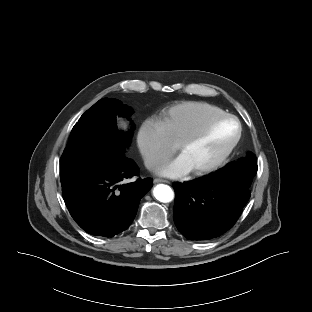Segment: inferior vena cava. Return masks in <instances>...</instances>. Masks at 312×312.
Segmentation results:
<instances>
[{"label": "inferior vena cava", "mask_w": 312, "mask_h": 312, "mask_svg": "<svg viewBox=\"0 0 312 312\" xmlns=\"http://www.w3.org/2000/svg\"><path fill=\"white\" fill-rule=\"evenodd\" d=\"M145 166L149 170H158L160 168V163L157 161L148 160L145 162Z\"/></svg>", "instance_id": "1"}]
</instances>
